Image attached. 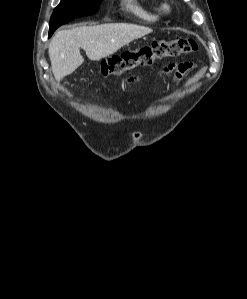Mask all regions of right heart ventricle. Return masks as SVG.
Segmentation results:
<instances>
[{
  "label": "right heart ventricle",
  "mask_w": 247,
  "mask_h": 299,
  "mask_svg": "<svg viewBox=\"0 0 247 299\" xmlns=\"http://www.w3.org/2000/svg\"><path fill=\"white\" fill-rule=\"evenodd\" d=\"M123 7L143 22H156L160 19V10L154 4H142L138 0H123Z\"/></svg>",
  "instance_id": "right-heart-ventricle-1"
}]
</instances>
